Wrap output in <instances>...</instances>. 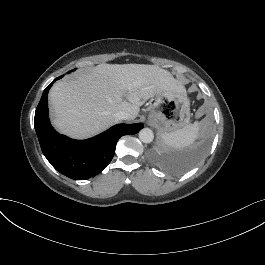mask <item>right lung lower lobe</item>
Listing matches in <instances>:
<instances>
[{"label":"right lung lower lobe","mask_w":265,"mask_h":265,"mask_svg":"<svg viewBox=\"0 0 265 265\" xmlns=\"http://www.w3.org/2000/svg\"><path fill=\"white\" fill-rule=\"evenodd\" d=\"M53 82L44 90L34 118L42 152L56 170L69 178L84 180L95 176L111 162L119 138L138 133L143 125L118 124L81 141L61 135L51 126L48 116L47 95Z\"/></svg>","instance_id":"right-lung-lower-lobe-1"}]
</instances>
